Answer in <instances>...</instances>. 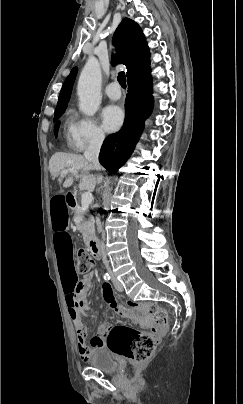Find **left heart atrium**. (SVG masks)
Segmentation results:
<instances>
[{
  "instance_id": "39dd6f15",
  "label": "left heart atrium",
  "mask_w": 243,
  "mask_h": 404,
  "mask_svg": "<svg viewBox=\"0 0 243 404\" xmlns=\"http://www.w3.org/2000/svg\"><path fill=\"white\" fill-rule=\"evenodd\" d=\"M123 119L122 109L115 104H110L101 111V126L105 132L118 130L123 123Z\"/></svg>"
}]
</instances>
